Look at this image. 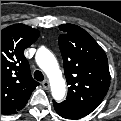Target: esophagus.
<instances>
[{"instance_id":"obj_1","label":"esophagus","mask_w":121,"mask_h":121,"mask_svg":"<svg viewBox=\"0 0 121 121\" xmlns=\"http://www.w3.org/2000/svg\"><path fill=\"white\" fill-rule=\"evenodd\" d=\"M43 87L45 89H48L49 88V82L47 80H45L43 83H42Z\"/></svg>"}]
</instances>
